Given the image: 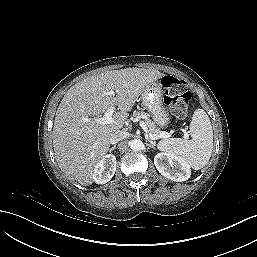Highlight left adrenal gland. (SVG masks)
Instances as JSON below:
<instances>
[{
	"mask_svg": "<svg viewBox=\"0 0 257 257\" xmlns=\"http://www.w3.org/2000/svg\"><path fill=\"white\" fill-rule=\"evenodd\" d=\"M147 146L154 149L155 143L151 141V143L147 144Z\"/></svg>",
	"mask_w": 257,
	"mask_h": 257,
	"instance_id": "a2214340",
	"label": "left adrenal gland"
}]
</instances>
